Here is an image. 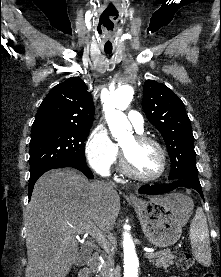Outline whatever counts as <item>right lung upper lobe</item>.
Returning <instances> with one entry per match:
<instances>
[{"instance_id": "1", "label": "right lung upper lobe", "mask_w": 221, "mask_h": 277, "mask_svg": "<svg viewBox=\"0 0 221 277\" xmlns=\"http://www.w3.org/2000/svg\"><path fill=\"white\" fill-rule=\"evenodd\" d=\"M94 103L87 86L79 77L56 85L41 103L32 127L92 126Z\"/></svg>"}]
</instances>
